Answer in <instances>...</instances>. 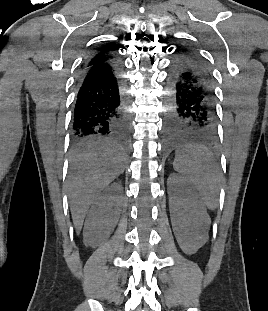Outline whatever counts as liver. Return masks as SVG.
<instances>
[{
  "label": "liver",
  "instance_id": "liver-1",
  "mask_svg": "<svg viewBox=\"0 0 268 311\" xmlns=\"http://www.w3.org/2000/svg\"><path fill=\"white\" fill-rule=\"evenodd\" d=\"M124 172V160L112 144L88 146L70 160V210L76 232L81 231L90 205L100 192Z\"/></svg>",
  "mask_w": 268,
  "mask_h": 311
}]
</instances>
